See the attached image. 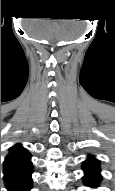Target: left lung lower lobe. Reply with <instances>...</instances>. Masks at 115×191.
I'll return each mask as SVG.
<instances>
[{"mask_svg": "<svg viewBox=\"0 0 115 191\" xmlns=\"http://www.w3.org/2000/svg\"><path fill=\"white\" fill-rule=\"evenodd\" d=\"M83 170L86 173L83 177L84 183L90 187H97L101 181L99 161L94 157H89L83 163Z\"/></svg>", "mask_w": 115, "mask_h": 191, "instance_id": "left-lung-lower-lobe-1", "label": "left lung lower lobe"}]
</instances>
